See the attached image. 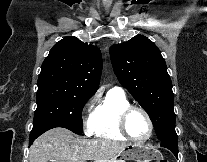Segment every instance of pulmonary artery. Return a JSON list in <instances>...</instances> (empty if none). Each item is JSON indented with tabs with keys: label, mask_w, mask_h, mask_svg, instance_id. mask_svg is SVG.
<instances>
[{
	"label": "pulmonary artery",
	"mask_w": 207,
	"mask_h": 162,
	"mask_svg": "<svg viewBox=\"0 0 207 162\" xmlns=\"http://www.w3.org/2000/svg\"><path fill=\"white\" fill-rule=\"evenodd\" d=\"M111 90L118 92V93H124V89L121 86H114Z\"/></svg>",
	"instance_id": "1"
}]
</instances>
